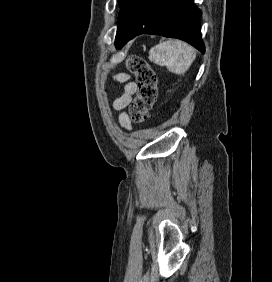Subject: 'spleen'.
Segmentation results:
<instances>
[{
  "label": "spleen",
  "instance_id": "spleen-1",
  "mask_svg": "<svg viewBox=\"0 0 272 282\" xmlns=\"http://www.w3.org/2000/svg\"><path fill=\"white\" fill-rule=\"evenodd\" d=\"M149 59L169 71L183 75L195 59V50L187 43L168 40L150 49Z\"/></svg>",
  "mask_w": 272,
  "mask_h": 282
}]
</instances>
